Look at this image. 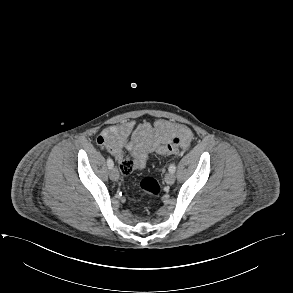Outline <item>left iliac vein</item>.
I'll use <instances>...</instances> for the list:
<instances>
[{
  "instance_id": "obj_1",
  "label": "left iliac vein",
  "mask_w": 293,
  "mask_h": 293,
  "mask_svg": "<svg viewBox=\"0 0 293 293\" xmlns=\"http://www.w3.org/2000/svg\"><path fill=\"white\" fill-rule=\"evenodd\" d=\"M174 181H175V175L173 173L170 172L165 175V182L167 184L171 185L174 183Z\"/></svg>"
}]
</instances>
